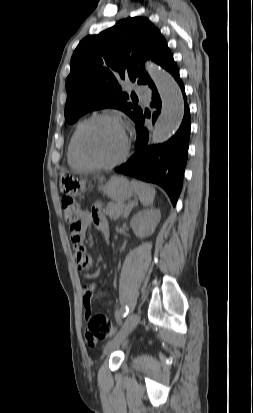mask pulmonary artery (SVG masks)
<instances>
[{
  "instance_id": "1",
  "label": "pulmonary artery",
  "mask_w": 253,
  "mask_h": 413,
  "mask_svg": "<svg viewBox=\"0 0 253 413\" xmlns=\"http://www.w3.org/2000/svg\"><path fill=\"white\" fill-rule=\"evenodd\" d=\"M137 94L143 99L145 102H149L150 100V90L144 86H138L136 88Z\"/></svg>"
}]
</instances>
